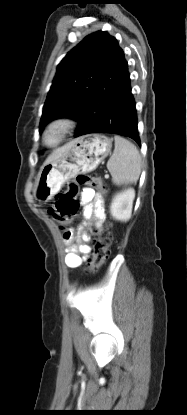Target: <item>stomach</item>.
I'll list each match as a JSON object with an SVG mask.
<instances>
[{
  "label": "stomach",
  "instance_id": "0dacf381",
  "mask_svg": "<svg viewBox=\"0 0 187 415\" xmlns=\"http://www.w3.org/2000/svg\"><path fill=\"white\" fill-rule=\"evenodd\" d=\"M56 160L44 163L35 182L33 195L39 202H48L62 184L79 173L93 171L111 152L112 138L103 134L79 137Z\"/></svg>",
  "mask_w": 187,
  "mask_h": 415
}]
</instances>
